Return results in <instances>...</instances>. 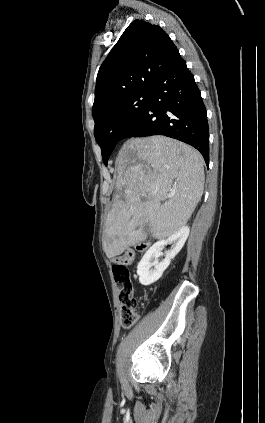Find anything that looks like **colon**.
<instances>
[{
	"mask_svg": "<svg viewBox=\"0 0 265 423\" xmlns=\"http://www.w3.org/2000/svg\"><path fill=\"white\" fill-rule=\"evenodd\" d=\"M148 246L149 243H139L135 250L142 252L145 251ZM135 250H126L114 259L112 266L114 279L119 289L118 299L120 302L121 325L124 328L132 327L138 318V301L134 296L130 271L128 269V266L134 261Z\"/></svg>",
	"mask_w": 265,
	"mask_h": 423,
	"instance_id": "1",
	"label": "colon"
}]
</instances>
